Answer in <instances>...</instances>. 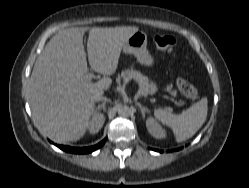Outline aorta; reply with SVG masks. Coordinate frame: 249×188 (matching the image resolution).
I'll use <instances>...</instances> for the list:
<instances>
[{
  "label": "aorta",
  "mask_w": 249,
  "mask_h": 188,
  "mask_svg": "<svg viewBox=\"0 0 249 188\" xmlns=\"http://www.w3.org/2000/svg\"><path fill=\"white\" fill-rule=\"evenodd\" d=\"M130 113H131L130 108L127 105H121L118 108V115L120 117H123V118L129 117Z\"/></svg>",
  "instance_id": "762f6f07"
}]
</instances>
